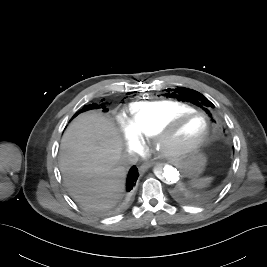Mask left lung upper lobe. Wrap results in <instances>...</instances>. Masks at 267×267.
I'll return each instance as SVG.
<instances>
[{
  "instance_id": "5c2ea615",
  "label": "left lung upper lobe",
  "mask_w": 267,
  "mask_h": 267,
  "mask_svg": "<svg viewBox=\"0 0 267 267\" xmlns=\"http://www.w3.org/2000/svg\"><path fill=\"white\" fill-rule=\"evenodd\" d=\"M167 91L169 92L168 95H170L172 98H176L182 101H188L193 104H196L199 107L205 106L204 110L207 113H210L211 109L214 108V105L211 102L207 101L201 93L195 90L178 87L176 89H169Z\"/></svg>"
}]
</instances>
